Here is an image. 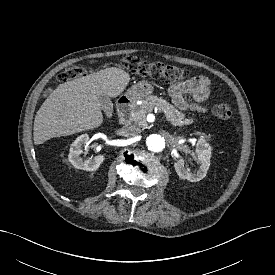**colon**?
<instances>
[{
    "label": "colon",
    "mask_w": 275,
    "mask_h": 275,
    "mask_svg": "<svg viewBox=\"0 0 275 275\" xmlns=\"http://www.w3.org/2000/svg\"><path fill=\"white\" fill-rule=\"evenodd\" d=\"M120 62L125 69L134 74L163 79L167 82L181 81L190 76V71L185 68L160 62H148L133 55L124 56ZM84 74L85 69L83 67L71 65L59 74L58 80L67 82L80 78ZM212 113L219 119L227 120L232 116V108L228 103H220L213 107Z\"/></svg>",
    "instance_id": "1"
}]
</instances>
